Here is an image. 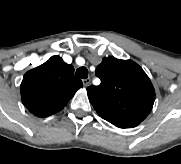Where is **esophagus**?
Returning <instances> with one entry per match:
<instances>
[{
	"mask_svg": "<svg viewBox=\"0 0 181 164\" xmlns=\"http://www.w3.org/2000/svg\"><path fill=\"white\" fill-rule=\"evenodd\" d=\"M90 82H91V79L90 78H86V79L83 80V85L85 87H88L90 85Z\"/></svg>",
	"mask_w": 181,
	"mask_h": 164,
	"instance_id": "esophagus-1",
	"label": "esophagus"
}]
</instances>
